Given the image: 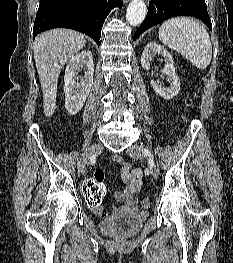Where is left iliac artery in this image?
<instances>
[{
    "mask_svg": "<svg viewBox=\"0 0 233 263\" xmlns=\"http://www.w3.org/2000/svg\"><path fill=\"white\" fill-rule=\"evenodd\" d=\"M144 153H145V154H151V152H150L148 149H145V150H144Z\"/></svg>",
    "mask_w": 233,
    "mask_h": 263,
    "instance_id": "44dca946",
    "label": "left iliac artery"
}]
</instances>
